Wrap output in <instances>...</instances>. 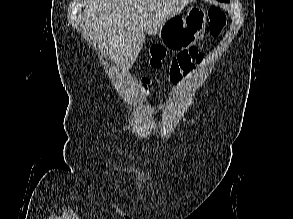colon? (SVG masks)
I'll return each instance as SVG.
<instances>
[{
    "label": "colon",
    "mask_w": 293,
    "mask_h": 219,
    "mask_svg": "<svg viewBox=\"0 0 293 219\" xmlns=\"http://www.w3.org/2000/svg\"><path fill=\"white\" fill-rule=\"evenodd\" d=\"M209 31L213 36H218L226 26V16L218 7H211L208 10ZM150 63L154 68L162 67L166 59V52L160 46H153L150 49ZM202 62V54L195 47L181 51L170 61V81L179 82L183 77L188 76L197 65Z\"/></svg>",
    "instance_id": "obj_1"
}]
</instances>
